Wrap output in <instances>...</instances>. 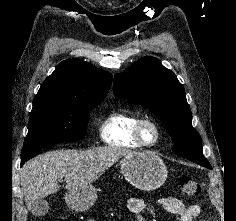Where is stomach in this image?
<instances>
[{"instance_id":"1","label":"stomach","mask_w":236,"mask_h":221,"mask_svg":"<svg viewBox=\"0 0 236 221\" xmlns=\"http://www.w3.org/2000/svg\"><path fill=\"white\" fill-rule=\"evenodd\" d=\"M120 164L124 178L140 190H155L166 181L168 173L166 165L153 152H131L122 158ZM96 199L97 191L92 185L68 191L65 196L67 205L76 211L88 210Z\"/></svg>"}]
</instances>
